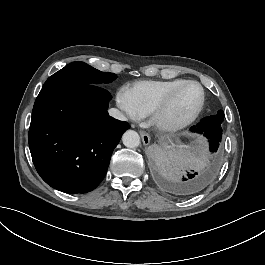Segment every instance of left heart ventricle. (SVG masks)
Listing matches in <instances>:
<instances>
[{
	"label": "left heart ventricle",
	"instance_id": "obj_1",
	"mask_svg": "<svg viewBox=\"0 0 265 265\" xmlns=\"http://www.w3.org/2000/svg\"><path fill=\"white\" fill-rule=\"evenodd\" d=\"M201 89L197 84L190 83L184 86L174 105L165 115L169 122H176L191 113L199 104Z\"/></svg>",
	"mask_w": 265,
	"mask_h": 265
}]
</instances>
